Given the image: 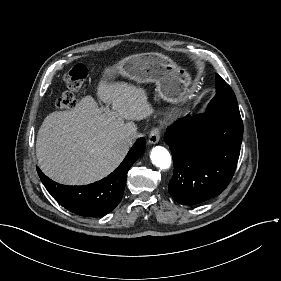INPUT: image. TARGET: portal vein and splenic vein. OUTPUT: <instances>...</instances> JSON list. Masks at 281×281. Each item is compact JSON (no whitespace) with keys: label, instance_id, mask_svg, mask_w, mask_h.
<instances>
[{"label":"portal vein and splenic vein","instance_id":"18ae733b","mask_svg":"<svg viewBox=\"0 0 281 281\" xmlns=\"http://www.w3.org/2000/svg\"><path fill=\"white\" fill-rule=\"evenodd\" d=\"M105 112H107V114H108V113L110 112V111H109V108H106V109H105ZM105 115H106V114H105Z\"/></svg>","mask_w":281,"mask_h":281}]
</instances>
